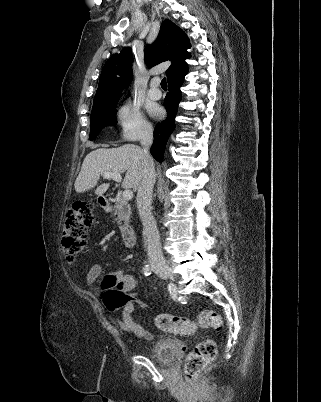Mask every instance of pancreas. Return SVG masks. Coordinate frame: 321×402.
I'll use <instances>...</instances> for the list:
<instances>
[{"label": "pancreas", "instance_id": "cf45deb5", "mask_svg": "<svg viewBox=\"0 0 321 402\" xmlns=\"http://www.w3.org/2000/svg\"><path fill=\"white\" fill-rule=\"evenodd\" d=\"M132 211L131 207L125 199H120L114 207V215H117L118 223H129Z\"/></svg>", "mask_w": 321, "mask_h": 402}]
</instances>
